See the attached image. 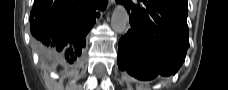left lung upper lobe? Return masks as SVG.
<instances>
[{
	"mask_svg": "<svg viewBox=\"0 0 228 90\" xmlns=\"http://www.w3.org/2000/svg\"><path fill=\"white\" fill-rule=\"evenodd\" d=\"M185 8L188 9L187 4L185 5Z\"/></svg>",
	"mask_w": 228,
	"mask_h": 90,
	"instance_id": "5c2ea615",
	"label": "left lung upper lobe"
}]
</instances>
